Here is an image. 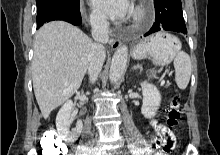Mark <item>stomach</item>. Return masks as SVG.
I'll return each instance as SVG.
<instances>
[{
    "label": "stomach",
    "instance_id": "obj_1",
    "mask_svg": "<svg viewBox=\"0 0 220 155\" xmlns=\"http://www.w3.org/2000/svg\"><path fill=\"white\" fill-rule=\"evenodd\" d=\"M181 49V42L168 32H159L140 42L133 52L136 59L150 56L157 66L168 65Z\"/></svg>",
    "mask_w": 220,
    "mask_h": 155
}]
</instances>
